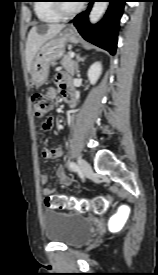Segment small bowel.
I'll list each match as a JSON object with an SVG mask.
<instances>
[{"label":"small bowel","mask_w":158,"mask_h":275,"mask_svg":"<svg viewBox=\"0 0 158 275\" xmlns=\"http://www.w3.org/2000/svg\"><path fill=\"white\" fill-rule=\"evenodd\" d=\"M55 83L56 87H52L48 90L47 95L53 99L56 97L57 93L59 92L62 96L69 100L71 104H74L73 92L71 83L68 77H65L61 74L55 76ZM53 120L51 118L45 120L42 124L43 131H50L53 127ZM62 155V148L60 146L55 147H44L42 150V157L45 159H56L61 157ZM56 175L60 182V184L68 186L71 184L70 178L65 173V169L63 166H58L56 169ZM48 181V176L46 174H42L40 176V182L43 185L42 192L45 196L53 195L57 188L47 186L46 183Z\"/></svg>","instance_id":"small-bowel-1"}]
</instances>
